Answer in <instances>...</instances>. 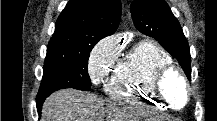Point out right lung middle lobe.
<instances>
[{"mask_svg":"<svg viewBox=\"0 0 217 121\" xmlns=\"http://www.w3.org/2000/svg\"><path fill=\"white\" fill-rule=\"evenodd\" d=\"M98 40L89 42H53L47 46L43 78L37 99L48 97L54 91L74 88L87 91L91 88L88 75V58Z\"/></svg>","mask_w":217,"mask_h":121,"instance_id":"obj_1","label":"right lung middle lobe"}]
</instances>
